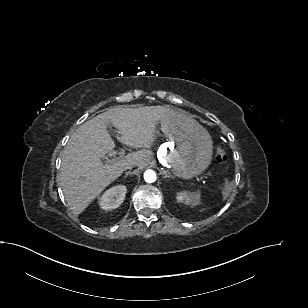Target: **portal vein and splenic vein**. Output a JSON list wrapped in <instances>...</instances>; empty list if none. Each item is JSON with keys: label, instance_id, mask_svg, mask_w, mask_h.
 Returning <instances> with one entry per match:
<instances>
[{"label": "portal vein and splenic vein", "instance_id": "18ae733b", "mask_svg": "<svg viewBox=\"0 0 308 308\" xmlns=\"http://www.w3.org/2000/svg\"><path fill=\"white\" fill-rule=\"evenodd\" d=\"M116 152H111L109 153V156H114ZM129 158V156H124V152L120 151L119 152V157H117L116 159H111V160H107V163H113L115 161H124L125 159Z\"/></svg>", "mask_w": 308, "mask_h": 308}]
</instances>
